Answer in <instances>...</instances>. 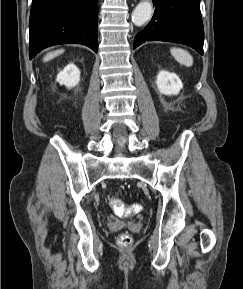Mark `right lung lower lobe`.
I'll use <instances>...</instances> for the list:
<instances>
[{
    "instance_id": "1",
    "label": "right lung lower lobe",
    "mask_w": 243,
    "mask_h": 289,
    "mask_svg": "<svg viewBox=\"0 0 243 289\" xmlns=\"http://www.w3.org/2000/svg\"><path fill=\"white\" fill-rule=\"evenodd\" d=\"M98 0H33L29 57L46 47L79 43L97 52Z\"/></svg>"
}]
</instances>
